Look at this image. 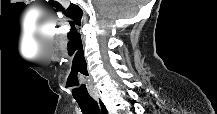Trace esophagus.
<instances>
[{
  "instance_id": "34e87169",
  "label": "esophagus",
  "mask_w": 217,
  "mask_h": 114,
  "mask_svg": "<svg viewBox=\"0 0 217 114\" xmlns=\"http://www.w3.org/2000/svg\"><path fill=\"white\" fill-rule=\"evenodd\" d=\"M95 100L97 101L99 108H100V113L105 114L107 109L105 108V101L100 95H95L94 96Z\"/></svg>"
}]
</instances>
